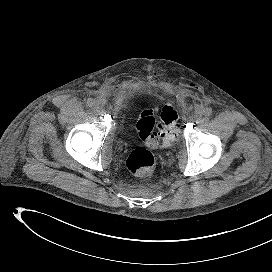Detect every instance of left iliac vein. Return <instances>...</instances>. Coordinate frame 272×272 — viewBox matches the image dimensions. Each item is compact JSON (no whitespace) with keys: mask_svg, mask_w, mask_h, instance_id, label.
<instances>
[{"mask_svg":"<svg viewBox=\"0 0 272 272\" xmlns=\"http://www.w3.org/2000/svg\"><path fill=\"white\" fill-rule=\"evenodd\" d=\"M203 111H204V108L202 106H198L196 108V113L194 116L191 117V120H193V121L198 120L202 116Z\"/></svg>","mask_w":272,"mask_h":272,"instance_id":"obj_1","label":"left iliac vein"}]
</instances>
